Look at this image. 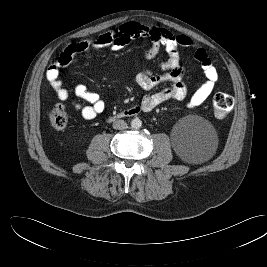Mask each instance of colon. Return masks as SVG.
Here are the masks:
<instances>
[{"instance_id": "colon-1", "label": "colon", "mask_w": 267, "mask_h": 267, "mask_svg": "<svg viewBox=\"0 0 267 267\" xmlns=\"http://www.w3.org/2000/svg\"><path fill=\"white\" fill-rule=\"evenodd\" d=\"M233 97L227 93L219 92L213 98V114L217 119L226 118L232 111ZM48 120L52 127L63 129L68 124V114L63 105L57 104L50 109Z\"/></svg>"}]
</instances>
